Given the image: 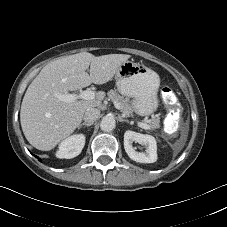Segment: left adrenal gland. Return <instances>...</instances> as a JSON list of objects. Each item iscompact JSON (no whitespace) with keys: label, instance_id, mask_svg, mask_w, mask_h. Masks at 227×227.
<instances>
[{"label":"left adrenal gland","instance_id":"obj_1","mask_svg":"<svg viewBox=\"0 0 227 227\" xmlns=\"http://www.w3.org/2000/svg\"><path fill=\"white\" fill-rule=\"evenodd\" d=\"M119 121H120V122H127V123H129V121L126 120V119H123L122 116H119Z\"/></svg>","mask_w":227,"mask_h":227}]
</instances>
